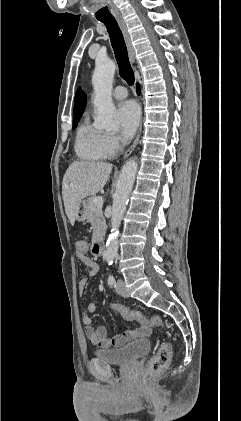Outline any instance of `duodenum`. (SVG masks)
I'll list each match as a JSON object with an SVG mask.
<instances>
[{
    "instance_id": "obj_1",
    "label": "duodenum",
    "mask_w": 241,
    "mask_h": 421,
    "mask_svg": "<svg viewBox=\"0 0 241 421\" xmlns=\"http://www.w3.org/2000/svg\"><path fill=\"white\" fill-rule=\"evenodd\" d=\"M91 250L95 256H102L105 251L104 240L101 238L96 239L92 244Z\"/></svg>"
}]
</instances>
